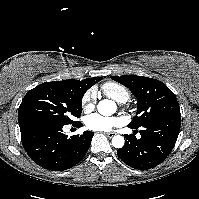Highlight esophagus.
<instances>
[{"mask_svg": "<svg viewBox=\"0 0 199 199\" xmlns=\"http://www.w3.org/2000/svg\"><path fill=\"white\" fill-rule=\"evenodd\" d=\"M106 135H107L109 138H112V137L115 135V133H113V132H108V133H106Z\"/></svg>", "mask_w": 199, "mask_h": 199, "instance_id": "34e87169", "label": "esophagus"}]
</instances>
